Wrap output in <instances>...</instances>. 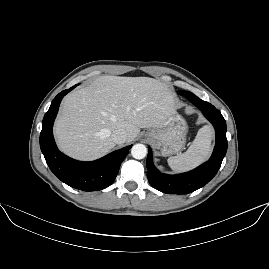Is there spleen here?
Wrapping results in <instances>:
<instances>
[{"label": "spleen", "instance_id": "spleen-1", "mask_svg": "<svg viewBox=\"0 0 269 269\" xmlns=\"http://www.w3.org/2000/svg\"><path fill=\"white\" fill-rule=\"evenodd\" d=\"M211 139L212 129L210 125L200 128L185 152L169 157L170 167L175 171H180L199 163L208 156Z\"/></svg>", "mask_w": 269, "mask_h": 269}]
</instances>
